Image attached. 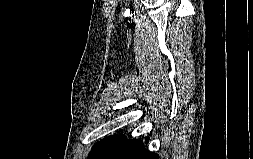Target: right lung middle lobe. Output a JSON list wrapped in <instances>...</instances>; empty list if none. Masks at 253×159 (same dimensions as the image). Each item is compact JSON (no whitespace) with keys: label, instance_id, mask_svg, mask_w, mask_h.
<instances>
[{"label":"right lung middle lobe","instance_id":"dd1d6c3e","mask_svg":"<svg viewBox=\"0 0 253 159\" xmlns=\"http://www.w3.org/2000/svg\"><path fill=\"white\" fill-rule=\"evenodd\" d=\"M123 138L125 137L122 135H114L102 139L93 147L92 152L88 155V159H98L102 154H104L107 150H109Z\"/></svg>","mask_w":253,"mask_h":159}]
</instances>
